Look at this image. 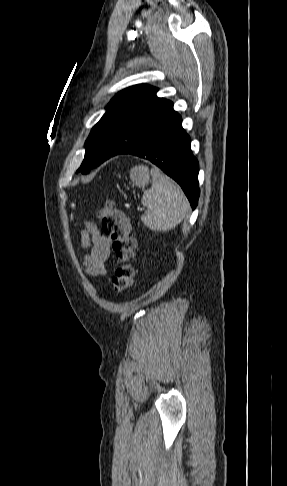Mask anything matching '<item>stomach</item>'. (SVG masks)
<instances>
[{
	"instance_id": "1",
	"label": "stomach",
	"mask_w": 287,
	"mask_h": 486,
	"mask_svg": "<svg viewBox=\"0 0 287 486\" xmlns=\"http://www.w3.org/2000/svg\"><path fill=\"white\" fill-rule=\"evenodd\" d=\"M149 170L146 166H135L130 170V179L133 185L144 187L149 182Z\"/></svg>"
}]
</instances>
